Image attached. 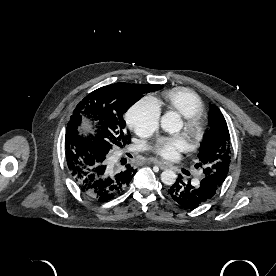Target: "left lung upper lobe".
Segmentation results:
<instances>
[{
	"instance_id": "1",
	"label": "left lung upper lobe",
	"mask_w": 276,
	"mask_h": 276,
	"mask_svg": "<svg viewBox=\"0 0 276 276\" xmlns=\"http://www.w3.org/2000/svg\"><path fill=\"white\" fill-rule=\"evenodd\" d=\"M209 131L204 135L198 154L203 177L215 180L220 188L228 175L231 160V142L227 123L217 106L211 105L208 117Z\"/></svg>"
}]
</instances>
